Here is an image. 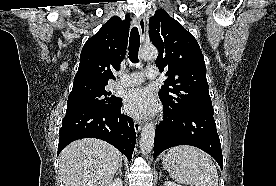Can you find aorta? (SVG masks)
<instances>
[{"mask_svg":"<svg viewBox=\"0 0 276 186\" xmlns=\"http://www.w3.org/2000/svg\"><path fill=\"white\" fill-rule=\"evenodd\" d=\"M141 60H156L158 57V50L154 46L143 47L138 55ZM155 137V126L152 122L146 123L142 128L140 137V149L143 154H148L152 151Z\"/></svg>","mask_w":276,"mask_h":186,"instance_id":"obj_1","label":"aorta"}]
</instances>
